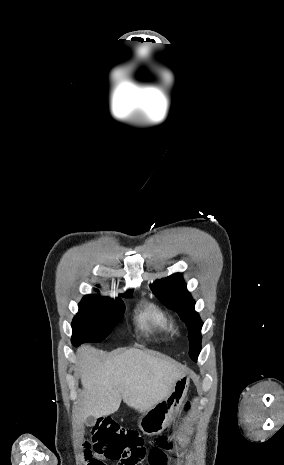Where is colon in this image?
<instances>
[{
    "instance_id": "5ec220e1",
    "label": "colon",
    "mask_w": 284,
    "mask_h": 465,
    "mask_svg": "<svg viewBox=\"0 0 284 465\" xmlns=\"http://www.w3.org/2000/svg\"><path fill=\"white\" fill-rule=\"evenodd\" d=\"M188 410V407H185ZM178 428L182 427L181 423L177 424ZM172 436L176 435L175 431L171 432ZM159 442L163 441L162 437L158 438ZM143 437L135 430L124 429L117 422L110 421L104 426L93 429L88 436L82 437V445L87 450L84 453L88 465H103L96 458H93V452L103 456L108 460H121V465H137L146 455V447ZM165 449L171 451L173 446L167 444L164 446H151L150 453L154 455L150 458L152 465H162V459L165 457ZM177 455L184 453L182 446L175 448ZM167 464H176V459L167 458Z\"/></svg>"
}]
</instances>
